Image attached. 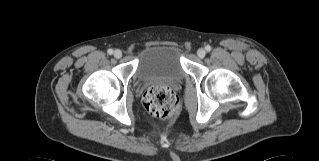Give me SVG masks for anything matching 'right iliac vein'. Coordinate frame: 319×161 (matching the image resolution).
Listing matches in <instances>:
<instances>
[{
	"instance_id": "63e3f726",
	"label": "right iliac vein",
	"mask_w": 319,
	"mask_h": 161,
	"mask_svg": "<svg viewBox=\"0 0 319 161\" xmlns=\"http://www.w3.org/2000/svg\"><path fill=\"white\" fill-rule=\"evenodd\" d=\"M114 57L116 58V59H119V58H121L122 57V52L120 51V50H115L114 51Z\"/></svg>"
}]
</instances>
